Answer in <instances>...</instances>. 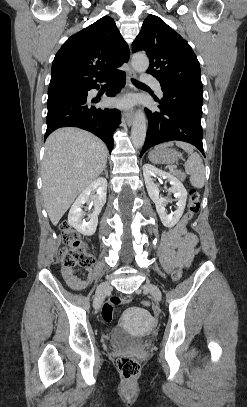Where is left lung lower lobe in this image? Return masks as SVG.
Listing matches in <instances>:
<instances>
[{
    "label": "left lung lower lobe",
    "instance_id": "1",
    "mask_svg": "<svg viewBox=\"0 0 247 407\" xmlns=\"http://www.w3.org/2000/svg\"><path fill=\"white\" fill-rule=\"evenodd\" d=\"M163 99L159 111L145 109L149 127L140 157L152 146L179 140L196 146L205 156L201 127L203 93L175 86L161 87Z\"/></svg>",
    "mask_w": 247,
    "mask_h": 407
}]
</instances>
